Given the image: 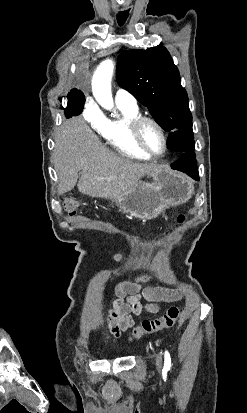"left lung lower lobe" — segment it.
I'll return each instance as SVG.
<instances>
[{
	"label": "left lung lower lobe",
	"mask_w": 247,
	"mask_h": 413,
	"mask_svg": "<svg viewBox=\"0 0 247 413\" xmlns=\"http://www.w3.org/2000/svg\"><path fill=\"white\" fill-rule=\"evenodd\" d=\"M172 169L185 172L195 180H199L196 156L194 152L180 153V157L171 164Z\"/></svg>",
	"instance_id": "1"
}]
</instances>
